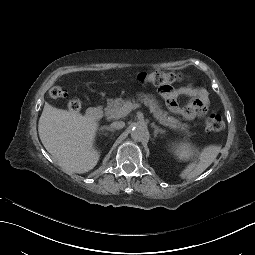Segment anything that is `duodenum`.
Wrapping results in <instances>:
<instances>
[{
    "instance_id": "1",
    "label": "duodenum",
    "mask_w": 255,
    "mask_h": 255,
    "mask_svg": "<svg viewBox=\"0 0 255 255\" xmlns=\"http://www.w3.org/2000/svg\"><path fill=\"white\" fill-rule=\"evenodd\" d=\"M86 115L90 120H99L102 116V109L100 107L89 108Z\"/></svg>"
}]
</instances>
